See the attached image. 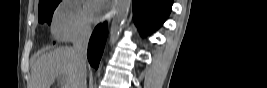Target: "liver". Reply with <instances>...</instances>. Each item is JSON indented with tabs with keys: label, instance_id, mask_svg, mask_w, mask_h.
Returning <instances> with one entry per match:
<instances>
[{
	"label": "liver",
	"instance_id": "6515ba94",
	"mask_svg": "<svg viewBox=\"0 0 267 88\" xmlns=\"http://www.w3.org/2000/svg\"><path fill=\"white\" fill-rule=\"evenodd\" d=\"M77 62L72 48H57L40 56L31 69V88H50L62 74L67 88H74L77 79Z\"/></svg>",
	"mask_w": 267,
	"mask_h": 88
}]
</instances>
